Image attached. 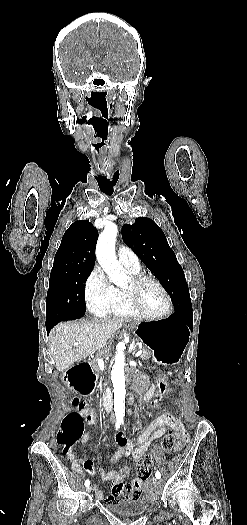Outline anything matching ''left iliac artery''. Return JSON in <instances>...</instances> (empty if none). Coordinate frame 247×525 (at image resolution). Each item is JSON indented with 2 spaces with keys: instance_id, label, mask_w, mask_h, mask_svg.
<instances>
[{
  "instance_id": "44dca946",
  "label": "left iliac artery",
  "mask_w": 247,
  "mask_h": 525,
  "mask_svg": "<svg viewBox=\"0 0 247 525\" xmlns=\"http://www.w3.org/2000/svg\"><path fill=\"white\" fill-rule=\"evenodd\" d=\"M155 477H156L157 479H160V478H161V474H160L159 471H156V473H155Z\"/></svg>"
}]
</instances>
